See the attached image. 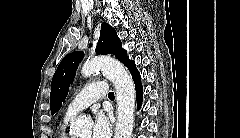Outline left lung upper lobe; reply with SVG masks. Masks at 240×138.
Listing matches in <instances>:
<instances>
[{
    "label": "left lung upper lobe",
    "mask_w": 240,
    "mask_h": 138,
    "mask_svg": "<svg viewBox=\"0 0 240 138\" xmlns=\"http://www.w3.org/2000/svg\"><path fill=\"white\" fill-rule=\"evenodd\" d=\"M96 53L113 54L124 65H127L130 61L127 52L122 48L115 29L106 23H103L101 26ZM83 57L84 53L77 51L67 55L60 62L51 83L50 108L52 115L60 110L62 103L65 101L70 83L74 80L77 67Z\"/></svg>",
    "instance_id": "1"
}]
</instances>
